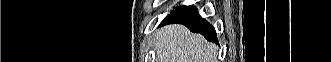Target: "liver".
<instances>
[{"mask_svg":"<svg viewBox=\"0 0 331 62\" xmlns=\"http://www.w3.org/2000/svg\"><path fill=\"white\" fill-rule=\"evenodd\" d=\"M157 62H216L217 46L181 25L162 28L156 36Z\"/></svg>","mask_w":331,"mask_h":62,"instance_id":"obj_1","label":"liver"}]
</instances>
